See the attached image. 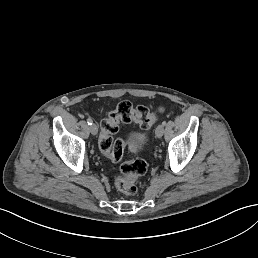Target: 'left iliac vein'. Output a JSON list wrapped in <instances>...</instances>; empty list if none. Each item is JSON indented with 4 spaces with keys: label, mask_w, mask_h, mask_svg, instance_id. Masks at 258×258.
I'll return each instance as SVG.
<instances>
[{
    "label": "left iliac vein",
    "mask_w": 258,
    "mask_h": 258,
    "mask_svg": "<svg viewBox=\"0 0 258 258\" xmlns=\"http://www.w3.org/2000/svg\"><path fill=\"white\" fill-rule=\"evenodd\" d=\"M164 126L163 125H158L156 128V138L157 139H162L163 138V131H164Z\"/></svg>",
    "instance_id": "1"
}]
</instances>
